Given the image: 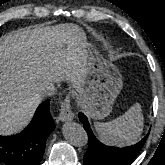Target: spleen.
Segmentation results:
<instances>
[{
    "mask_svg": "<svg viewBox=\"0 0 165 165\" xmlns=\"http://www.w3.org/2000/svg\"><path fill=\"white\" fill-rule=\"evenodd\" d=\"M141 105L136 103L122 116L105 123L94 124L101 140L120 147L135 143L143 131Z\"/></svg>",
    "mask_w": 165,
    "mask_h": 165,
    "instance_id": "obj_1",
    "label": "spleen"
}]
</instances>
